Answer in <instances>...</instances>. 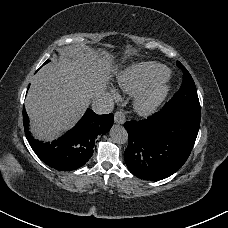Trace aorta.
Here are the masks:
<instances>
[{"mask_svg":"<svg viewBox=\"0 0 228 228\" xmlns=\"http://www.w3.org/2000/svg\"><path fill=\"white\" fill-rule=\"evenodd\" d=\"M111 139L117 144L128 142V133L123 126L114 125L110 130Z\"/></svg>","mask_w":228,"mask_h":228,"instance_id":"1","label":"aorta"}]
</instances>
